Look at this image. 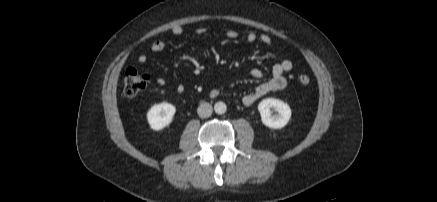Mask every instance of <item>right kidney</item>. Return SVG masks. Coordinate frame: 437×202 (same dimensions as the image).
<instances>
[{
    "label": "right kidney",
    "mask_w": 437,
    "mask_h": 202,
    "mask_svg": "<svg viewBox=\"0 0 437 202\" xmlns=\"http://www.w3.org/2000/svg\"><path fill=\"white\" fill-rule=\"evenodd\" d=\"M176 108L169 103H160L152 106L147 112V120L151 129L159 131L167 127L173 119Z\"/></svg>",
    "instance_id": "right-kidney-1"
}]
</instances>
